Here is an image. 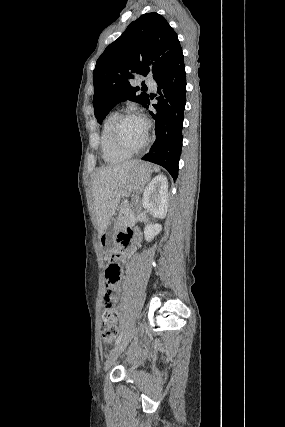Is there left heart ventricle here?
Returning <instances> with one entry per match:
<instances>
[{
	"instance_id": "b2bd125f",
	"label": "left heart ventricle",
	"mask_w": 285,
	"mask_h": 427,
	"mask_svg": "<svg viewBox=\"0 0 285 427\" xmlns=\"http://www.w3.org/2000/svg\"><path fill=\"white\" fill-rule=\"evenodd\" d=\"M120 135L125 144L136 147L146 136V126L139 118H128L121 124Z\"/></svg>"
}]
</instances>
